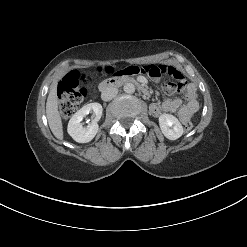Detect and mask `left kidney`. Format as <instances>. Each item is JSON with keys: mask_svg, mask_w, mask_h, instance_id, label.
<instances>
[{"mask_svg": "<svg viewBox=\"0 0 247 247\" xmlns=\"http://www.w3.org/2000/svg\"><path fill=\"white\" fill-rule=\"evenodd\" d=\"M159 125L162 133L169 140H176L183 134V127L179 120L171 114L159 116Z\"/></svg>", "mask_w": 247, "mask_h": 247, "instance_id": "5707ae66", "label": "left kidney"}]
</instances>
